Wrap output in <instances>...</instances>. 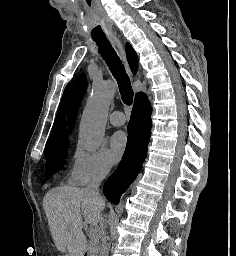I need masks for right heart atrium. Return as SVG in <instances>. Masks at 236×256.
Listing matches in <instances>:
<instances>
[{
	"mask_svg": "<svg viewBox=\"0 0 236 256\" xmlns=\"http://www.w3.org/2000/svg\"><path fill=\"white\" fill-rule=\"evenodd\" d=\"M112 170L105 150L87 152L77 145L71 157L67 181L73 186H86L105 180Z\"/></svg>",
	"mask_w": 236,
	"mask_h": 256,
	"instance_id": "d8ad5b80",
	"label": "right heart atrium"
}]
</instances>
